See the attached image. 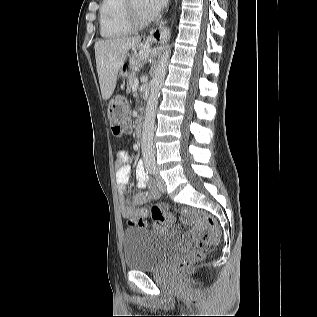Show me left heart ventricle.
<instances>
[{"label":"left heart ventricle","instance_id":"obj_1","mask_svg":"<svg viewBox=\"0 0 317 317\" xmlns=\"http://www.w3.org/2000/svg\"><path fill=\"white\" fill-rule=\"evenodd\" d=\"M132 4L141 18H148L144 9V0H132Z\"/></svg>","mask_w":317,"mask_h":317}]
</instances>
